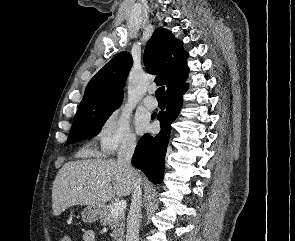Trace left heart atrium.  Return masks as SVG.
I'll use <instances>...</instances> for the list:
<instances>
[{
  "label": "left heart atrium",
  "mask_w": 295,
  "mask_h": 241,
  "mask_svg": "<svg viewBox=\"0 0 295 241\" xmlns=\"http://www.w3.org/2000/svg\"><path fill=\"white\" fill-rule=\"evenodd\" d=\"M136 128L140 133L146 131L149 128L148 121L145 118L138 117L136 119Z\"/></svg>",
  "instance_id": "left-heart-atrium-1"
}]
</instances>
